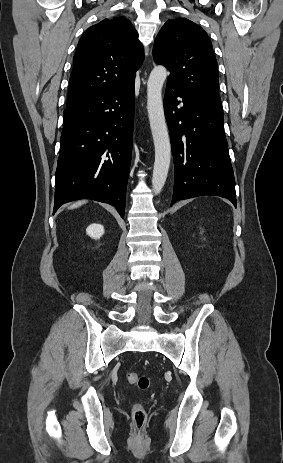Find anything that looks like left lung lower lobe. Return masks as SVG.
Instances as JSON below:
<instances>
[{"label":"left lung lower lobe","mask_w":283,"mask_h":463,"mask_svg":"<svg viewBox=\"0 0 283 463\" xmlns=\"http://www.w3.org/2000/svg\"><path fill=\"white\" fill-rule=\"evenodd\" d=\"M164 111L175 163L171 206L182 199L216 195L229 199L236 207L223 114L205 107L170 81Z\"/></svg>","instance_id":"0a47b994"}]
</instances>
